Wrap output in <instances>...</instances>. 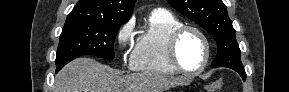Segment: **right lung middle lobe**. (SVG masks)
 I'll use <instances>...</instances> for the list:
<instances>
[{"label": "right lung middle lobe", "mask_w": 289, "mask_h": 92, "mask_svg": "<svg viewBox=\"0 0 289 92\" xmlns=\"http://www.w3.org/2000/svg\"><path fill=\"white\" fill-rule=\"evenodd\" d=\"M124 23L65 22L56 56V72L81 55L113 59L114 41Z\"/></svg>", "instance_id": "obj_1"}]
</instances>
